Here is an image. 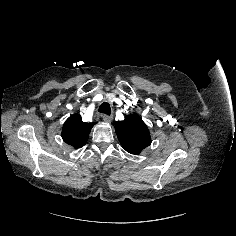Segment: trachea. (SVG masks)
<instances>
[{"instance_id":"obj_1","label":"trachea","mask_w":236,"mask_h":236,"mask_svg":"<svg viewBox=\"0 0 236 236\" xmlns=\"http://www.w3.org/2000/svg\"><path fill=\"white\" fill-rule=\"evenodd\" d=\"M98 111H99L100 113H103V114H106V115H110V112H111L110 104L107 103V102H103V103L100 105Z\"/></svg>"}]
</instances>
